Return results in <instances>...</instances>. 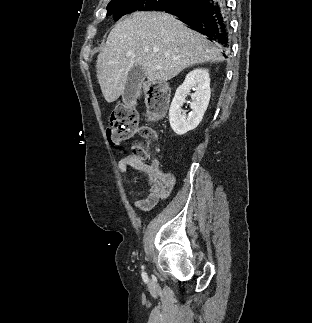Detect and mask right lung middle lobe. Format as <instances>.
<instances>
[{
  "instance_id": "dd1d6c3e",
  "label": "right lung middle lobe",
  "mask_w": 312,
  "mask_h": 323,
  "mask_svg": "<svg viewBox=\"0 0 312 323\" xmlns=\"http://www.w3.org/2000/svg\"><path fill=\"white\" fill-rule=\"evenodd\" d=\"M187 0H112L107 6V15L114 20L135 11L165 10L178 7Z\"/></svg>"
}]
</instances>
